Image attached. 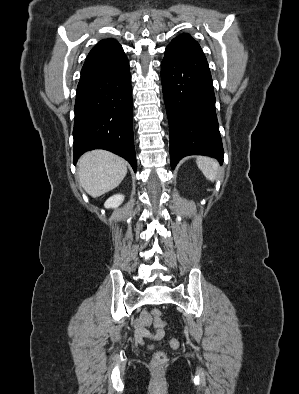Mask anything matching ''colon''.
<instances>
[{
	"instance_id": "5ec220e1",
	"label": "colon",
	"mask_w": 299,
	"mask_h": 394,
	"mask_svg": "<svg viewBox=\"0 0 299 394\" xmlns=\"http://www.w3.org/2000/svg\"><path fill=\"white\" fill-rule=\"evenodd\" d=\"M152 316L155 319L156 324L161 327L164 328L166 326L165 322H163L160 317H161V312L160 310L154 309L152 311ZM170 346L171 347H178L179 343L177 340L175 339H171L170 340ZM167 362V356L164 352L159 351L153 354V356L151 357V365L153 367H161L163 366L165 363Z\"/></svg>"
}]
</instances>
